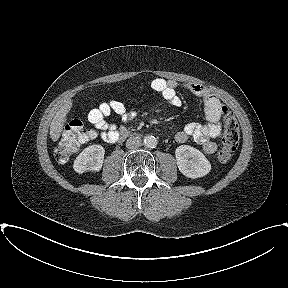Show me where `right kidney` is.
Returning <instances> with one entry per match:
<instances>
[{"label": "right kidney", "mask_w": 288, "mask_h": 288, "mask_svg": "<svg viewBox=\"0 0 288 288\" xmlns=\"http://www.w3.org/2000/svg\"><path fill=\"white\" fill-rule=\"evenodd\" d=\"M105 149L101 145L85 148L74 160L73 168L77 173L99 171L102 168Z\"/></svg>", "instance_id": "right-kidney-1"}]
</instances>
